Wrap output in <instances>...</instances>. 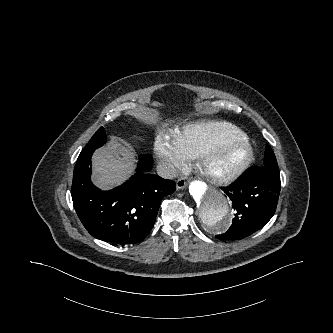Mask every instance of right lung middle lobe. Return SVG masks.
Returning <instances> with one entry per match:
<instances>
[{
    "label": "right lung middle lobe",
    "instance_id": "obj_1",
    "mask_svg": "<svg viewBox=\"0 0 333 333\" xmlns=\"http://www.w3.org/2000/svg\"><path fill=\"white\" fill-rule=\"evenodd\" d=\"M106 142V133L103 127H101L87 143L84 150L97 149Z\"/></svg>",
    "mask_w": 333,
    "mask_h": 333
}]
</instances>
